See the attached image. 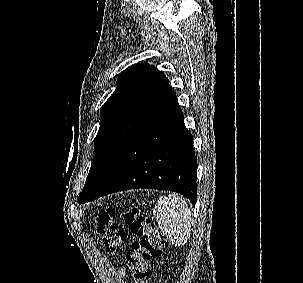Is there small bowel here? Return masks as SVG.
Listing matches in <instances>:
<instances>
[{"instance_id": "obj_1", "label": "small bowel", "mask_w": 303, "mask_h": 283, "mask_svg": "<svg viewBox=\"0 0 303 283\" xmlns=\"http://www.w3.org/2000/svg\"><path fill=\"white\" fill-rule=\"evenodd\" d=\"M118 275H119V277L123 278L125 276V270L124 269H120L118 271Z\"/></svg>"}]
</instances>
